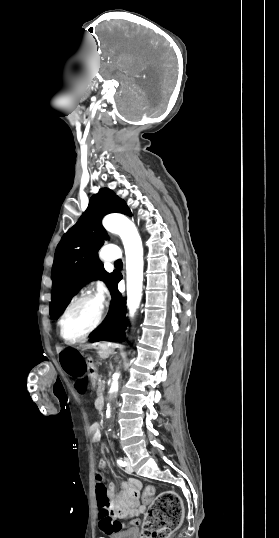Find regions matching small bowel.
Masks as SVG:
<instances>
[{"mask_svg": "<svg viewBox=\"0 0 279 538\" xmlns=\"http://www.w3.org/2000/svg\"><path fill=\"white\" fill-rule=\"evenodd\" d=\"M89 383L85 376H78L75 380V388L79 393H84ZM94 441H99L100 430L97 423L91 427ZM107 460L102 458L99 461V467L104 468ZM121 489H117L114 483L108 485V494L112 500L114 513L110 517L100 516V528L104 533H112L122 529H134L139 524L136 518L142 513L144 506L141 501L142 483L134 478L127 481H121ZM125 519H131L127 523H122Z\"/></svg>", "mask_w": 279, "mask_h": 538, "instance_id": "1", "label": "small bowel"}]
</instances>
